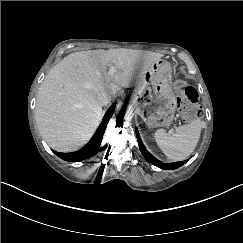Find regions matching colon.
<instances>
[{"mask_svg": "<svg viewBox=\"0 0 243 243\" xmlns=\"http://www.w3.org/2000/svg\"><path fill=\"white\" fill-rule=\"evenodd\" d=\"M178 107L182 118L189 122L201 117L202 111L198 105L196 90L186 83L179 81L174 85Z\"/></svg>", "mask_w": 243, "mask_h": 243, "instance_id": "obj_1", "label": "colon"}]
</instances>
